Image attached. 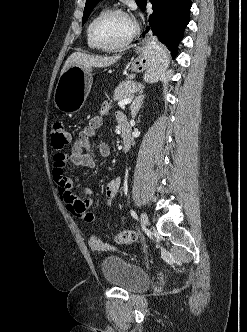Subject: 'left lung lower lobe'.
<instances>
[{
    "label": "left lung lower lobe",
    "mask_w": 247,
    "mask_h": 332,
    "mask_svg": "<svg viewBox=\"0 0 247 332\" xmlns=\"http://www.w3.org/2000/svg\"><path fill=\"white\" fill-rule=\"evenodd\" d=\"M154 14L149 16L151 29L163 44L177 55L178 43L189 23L191 0H150ZM147 4V1H146ZM145 6L142 8L144 11ZM150 29L147 27L146 32Z\"/></svg>",
    "instance_id": "left-lung-lower-lobe-1"
}]
</instances>
